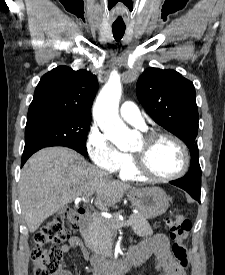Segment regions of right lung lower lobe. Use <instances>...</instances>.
<instances>
[{"label":"right lung lower lobe","mask_w":225,"mask_h":275,"mask_svg":"<svg viewBox=\"0 0 225 275\" xmlns=\"http://www.w3.org/2000/svg\"><path fill=\"white\" fill-rule=\"evenodd\" d=\"M36 151H37V150H32V151H28V152H23L21 166H23L24 163L27 161V159H28L33 153H35Z\"/></svg>","instance_id":"98d812e1"}]
</instances>
